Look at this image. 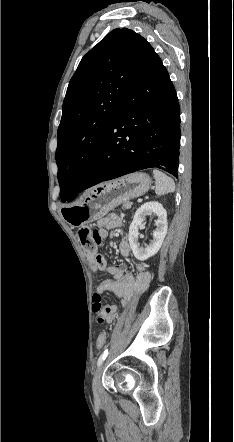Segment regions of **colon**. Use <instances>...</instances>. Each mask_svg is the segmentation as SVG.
<instances>
[{
  "label": "colon",
  "instance_id": "obj_1",
  "mask_svg": "<svg viewBox=\"0 0 234 442\" xmlns=\"http://www.w3.org/2000/svg\"><path fill=\"white\" fill-rule=\"evenodd\" d=\"M78 236L83 246V249L89 254H96L97 247L101 243V239L96 230H91L89 227H82L78 231ZM95 271L99 269L94 266ZM102 309L101 298L98 294L93 296V311L100 313ZM105 343V336L100 335L97 339L96 350L101 352L103 350V345Z\"/></svg>",
  "mask_w": 234,
  "mask_h": 442
}]
</instances>
